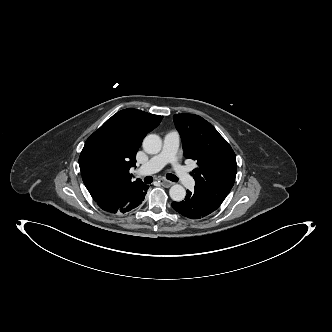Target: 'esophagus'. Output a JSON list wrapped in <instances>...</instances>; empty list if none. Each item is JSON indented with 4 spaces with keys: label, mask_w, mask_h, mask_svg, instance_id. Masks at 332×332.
<instances>
[{
    "label": "esophagus",
    "mask_w": 332,
    "mask_h": 332,
    "mask_svg": "<svg viewBox=\"0 0 332 332\" xmlns=\"http://www.w3.org/2000/svg\"><path fill=\"white\" fill-rule=\"evenodd\" d=\"M159 182H160L163 186H165V187H170V186L173 184L171 181L166 180V179H164V178H161V179L159 180Z\"/></svg>",
    "instance_id": "obj_1"
}]
</instances>
